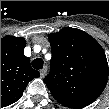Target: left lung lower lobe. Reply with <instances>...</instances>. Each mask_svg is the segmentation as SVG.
Listing matches in <instances>:
<instances>
[{
	"label": "left lung lower lobe",
	"mask_w": 109,
	"mask_h": 109,
	"mask_svg": "<svg viewBox=\"0 0 109 109\" xmlns=\"http://www.w3.org/2000/svg\"><path fill=\"white\" fill-rule=\"evenodd\" d=\"M55 99L62 105L66 106V107H69V108H73V109H81L83 108V106H80L78 104H75V103H72L68 100H65V99H61V98H57L55 97Z\"/></svg>",
	"instance_id": "0a47b994"
}]
</instances>
